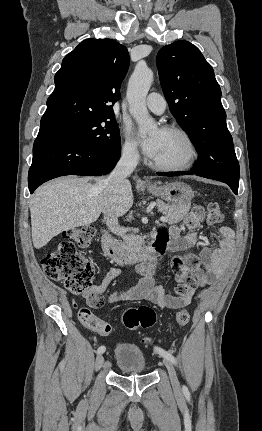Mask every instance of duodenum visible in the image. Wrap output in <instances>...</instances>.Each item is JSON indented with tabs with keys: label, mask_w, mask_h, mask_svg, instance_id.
I'll return each instance as SVG.
<instances>
[{
	"label": "duodenum",
	"mask_w": 262,
	"mask_h": 431,
	"mask_svg": "<svg viewBox=\"0 0 262 431\" xmlns=\"http://www.w3.org/2000/svg\"><path fill=\"white\" fill-rule=\"evenodd\" d=\"M161 247V239L155 238L153 246L142 253H131L120 247L107 229L102 231V248L105 255L112 258L120 265L140 263L144 264L153 258Z\"/></svg>",
	"instance_id": "1"
}]
</instances>
